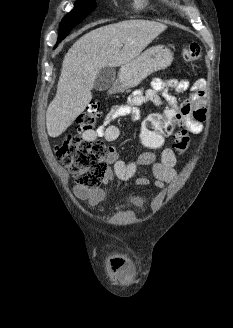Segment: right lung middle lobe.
<instances>
[{"mask_svg": "<svg viewBox=\"0 0 233 328\" xmlns=\"http://www.w3.org/2000/svg\"><path fill=\"white\" fill-rule=\"evenodd\" d=\"M95 6V0H77L73 10L63 18L60 25L80 23L85 16L95 9Z\"/></svg>", "mask_w": 233, "mask_h": 328, "instance_id": "obj_1", "label": "right lung middle lobe"}]
</instances>
